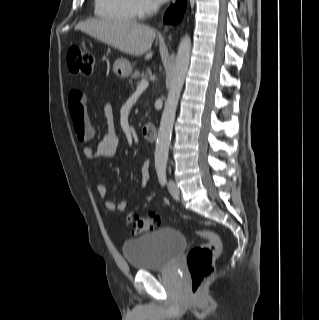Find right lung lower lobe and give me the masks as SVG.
I'll return each instance as SVG.
<instances>
[{"label":"right lung lower lobe","mask_w":319,"mask_h":320,"mask_svg":"<svg viewBox=\"0 0 319 320\" xmlns=\"http://www.w3.org/2000/svg\"><path fill=\"white\" fill-rule=\"evenodd\" d=\"M186 7V0H177L176 5H172L164 16V22L176 24L183 18Z\"/></svg>","instance_id":"right-lung-lower-lobe-1"}]
</instances>
